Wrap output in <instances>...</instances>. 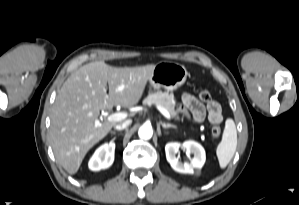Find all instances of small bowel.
Returning <instances> with one entry per match:
<instances>
[{
	"label": "small bowel",
	"instance_id": "1",
	"mask_svg": "<svg viewBox=\"0 0 299 205\" xmlns=\"http://www.w3.org/2000/svg\"><path fill=\"white\" fill-rule=\"evenodd\" d=\"M182 104L183 108L189 112L191 119L194 122H202L206 116V113H208L209 119L212 122L211 113L214 110L218 112L220 121L222 120L221 107L216 101H210L205 106L195 96L186 93L182 96Z\"/></svg>",
	"mask_w": 299,
	"mask_h": 205
}]
</instances>
